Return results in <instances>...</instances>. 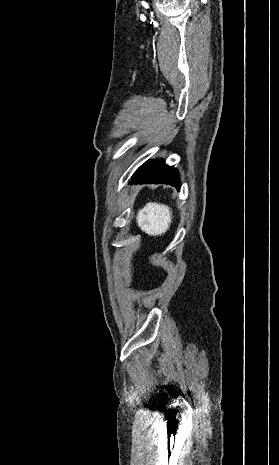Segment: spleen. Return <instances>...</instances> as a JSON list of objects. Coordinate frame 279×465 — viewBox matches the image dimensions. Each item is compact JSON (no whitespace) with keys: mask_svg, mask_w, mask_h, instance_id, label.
<instances>
[{"mask_svg":"<svg viewBox=\"0 0 279 465\" xmlns=\"http://www.w3.org/2000/svg\"><path fill=\"white\" fill-rule=\"evenodd\" d=\"M137 224L148 235H161L167 231L171 224L172 212L167 205L148 203L139 210Z\"/></svg>","mask_w":279,"mask_h":465,"instance_id":"spleen-1","label":"spleen"}]
</instances>
